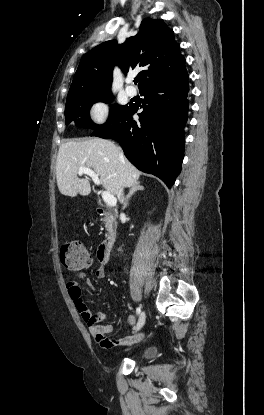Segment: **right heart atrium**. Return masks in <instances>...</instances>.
<instances>
[{"instance_id":"right-heart-atrium-1","label":"right heart atrium","mask_w":264,"mask_h":415,"mask_svg":"<svg viewBox=\"0 0 264 415\" xmlns=\"http://www.w3.org/2000/svg\"><path fill=\"white\" fill-rule=\"evenodd\" d=\"M110 106L106 100L94 101L89 108L91 119L97 124H103L109 115Z\"/></svg>"}]
</instances>
